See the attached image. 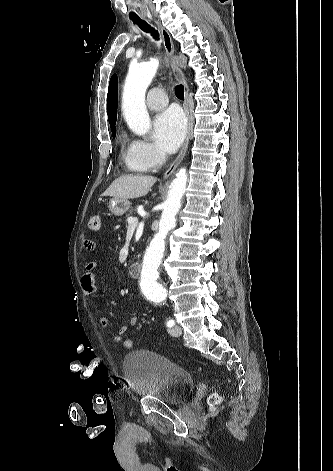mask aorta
I'll return each instance as SVG.
<instances>
[{
  "label": "aorta",
  "mask_w": 333,
  "mask_h": 471,
  "mask_svg": "<svg viewBox=\"0 0 333 471\" xmlns=\"http://www.w3.org/2000/svg\"><path fill=\"white\" fill-rule=\"evenodd\" d=\"M158 65L157 59L132 65L124 84L122 97L124 118L130 130L139 136H145L151 128L145 105V94L156 74ZM186 183V169L181 168L170 185L159 222V230L151 240L143 258L141 282L146 287V295L151 298L165 300L167 297V291L159 281V268L165 251L167 234L176 226L175 216L180 208Z\"/></svg>",
  "instance_id": "aorta-1"
}]
</instances>
